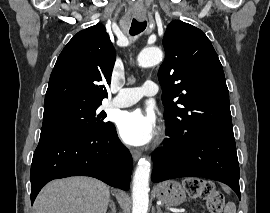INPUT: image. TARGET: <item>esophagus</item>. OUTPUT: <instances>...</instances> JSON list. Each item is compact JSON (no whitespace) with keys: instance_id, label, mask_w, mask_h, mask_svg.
Segmentation results:
<instances>
[{"instance_id":"1","label":"esophagus","mask_w":270,"mask_h":213,"mask_svg":"<svg viewBox=\"0 0 270 213\" xmlns=\"http://www.w3.org/2000/svg\"><path fill=\"white\" fill-rule=\"evenodd\" d=\"M138 20L143 21L144 17H139ZM131 154L134 161H137L141 157V152L135 149L131 151Z\"/></svg>"}]
</instances>
